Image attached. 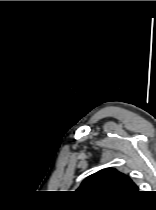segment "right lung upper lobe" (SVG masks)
Masks as SVG:
<instances>
[{
  "label": "right lung upper lobe",
  "instance_id": "1",
  "mask_svg": "<svg viewBox=\"0 0 156 210\" xmlns=\"http://www.w3.org/2000/svg\"><path fill=\"white\" fill-rule=\"evenodd\" d=\"M78 191L88 196L127 197L138 192L129 176L114 168H106L87 177Z\"/></svg>",
  "mask_w": 156,
  "mask_h": 210
}]
</instances>
